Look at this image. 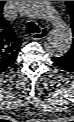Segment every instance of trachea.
Segmentation results:
<instances>
[{"label": "trachea", "instance_id": "3493384b", "mask_svg": "<svg viewBox=\"0 0 74 122\" xmlns=\"http://www.w3.org/2000/svg\"><path fill=\"white\" fill-rule=\"evenodd\" d=\"M40 28L34 22H28L26 25V34L39 33Z\"/></svg>", "mask_w": 74, "mask_h": 122}]
</instances>
